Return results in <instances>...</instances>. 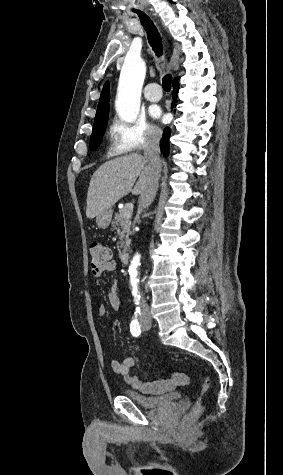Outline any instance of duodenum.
<instances>
[{"label": "duodenum", "instance_id": "obj_1", "mask_svg": "<svg viewBox=\"0 0 283 475\" xmlns=\"http://www.w3.org/2000/svg\"><path fill=\"white\" fill-rule=\"evenodd\" d=\"M121 262L126 264L129 262V254L127 252H122L120 255Z\"/></svg>", "mask_w": 283, "mask_h": 475}]
</instances>
